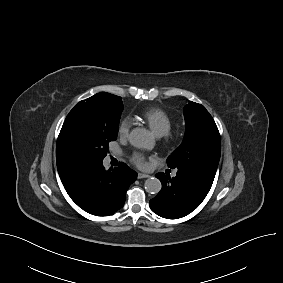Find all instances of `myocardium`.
Here are the masks:
<instances>
[{
	"mask_svg": "<svg viewBox=\"0 0 283 283\" xmlns=\"http://www.w3.org/2000/svg\"><path fill=\"white\" fill-rule=\"evenodd\" d=\"M165 136L167 140L170 138V135L168 133Z\"/></svg>",
	"mask_w": 283,
	"mask_h": 283,
	"instance_id": "obj_1",
	"label": "myocardium"
}]
</instances>
